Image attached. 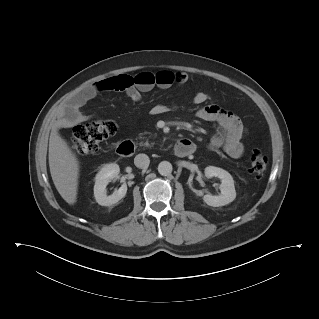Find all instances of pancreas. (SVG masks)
I'll return each instance as SVG.
<instances>
[{"label":"pancreas","instance_id":"pancreas-1","mask_svg":"<svg viewBox=\"0 0 319 319\" xmlns=\"http://www.w3.org/2000/svg\"><path fill=\"white\" fill-rule=\"evenodd\" d=\"M141 146L151 147V144L146 141L145 143H140Z\"/></svg>","mask_w":319,"mask_h":319}]
</instances>
